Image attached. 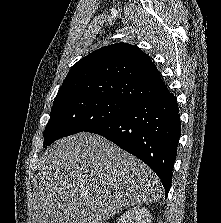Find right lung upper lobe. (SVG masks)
I'll use <instances>...</instances> for the list:
<instances>
[{
    "mask_svg": "<svg viewBox=\"0 0 221 223\" xmlns=\"http://www.w3.org/2000/svg\"><path fill=\"white\" fill-rule=\"evenodd\" d=\"M167 91L146 53L127 43H115L80 59L70 69L53 103L100 96L136 104Z\"/></svg>",
    "mask_w": 221,
    "mask_h": 223,
    "instance_id": "obj_1",
    "label": "right lung upper lobe"
}]
</instances>
